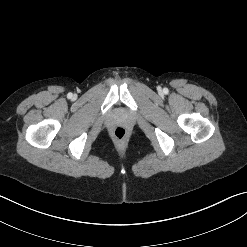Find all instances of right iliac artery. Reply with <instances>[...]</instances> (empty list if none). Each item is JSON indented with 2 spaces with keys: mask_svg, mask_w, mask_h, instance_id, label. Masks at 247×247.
Segmentation results:
<instances>
[{
  "mask_svg": "<svg viewBox=\"0 0 247 247\" xmlns=\"http://www.w3.org/2000/svg\"><path fill=\"white\" fill-rule=\"evenodd\" d=\"M68 97L71 98V97H72V93H69V94H68Z\"/></svg>",
  "mask_w": 247,
  "mask_h": 247,
  "instance_id": "1",
  "label": "right iliac artery"
}]
</instances>
